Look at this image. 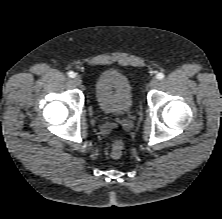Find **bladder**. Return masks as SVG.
I'll use <instances>...</instances> for the list:
<instances>
[{
	"mask_svg": "<svg viewBox=\"0 0 222 219\" xmlns=\"http://www.w3.org/2000/svg\"><path fill=\"white\" fill-rule=\"evenodd\" d=\"M94 95L98 107L106 114L125 116L133 108L129 80L118 70H105L97 77Z\"/></svg>",
	"mask_w": 222,
	"mask_h": 219,
	"instance_id": "1",
	"label": "bladder"
}]
</instances>
